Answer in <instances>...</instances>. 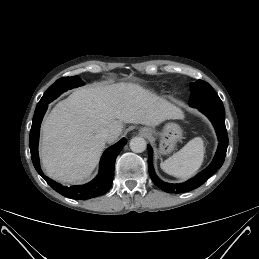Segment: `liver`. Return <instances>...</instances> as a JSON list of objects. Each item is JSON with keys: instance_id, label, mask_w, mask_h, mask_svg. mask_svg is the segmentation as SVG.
Masks as SVG:
<instances>
[{"instance_id": "liver-1", "label": "liver", "mask_w": 259, "mask_h": 259, "mask_svg": "<svg viewBox=\"0 0 259 259\" xmlns=\"http://www.w3.org/2000/svg\"><path fill=\"white\" fill-rule=\"evenodd\" d=\"M181 118V109L137 84L82 88L57 103L44 121L41 163L60 183L81 182L97 166L105 143L118 139L123 123L155 127ZM105 129L110 131L107 141L97 136Z\"/></svg>"}]
</instances>
